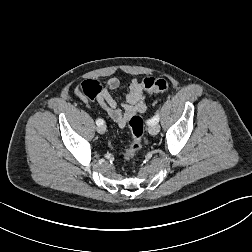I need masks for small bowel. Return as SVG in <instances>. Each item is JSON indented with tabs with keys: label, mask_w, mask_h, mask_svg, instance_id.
Listing matches in <instances>:
<instances>
[{
	"label": "small bowel",
	"mask_w": 252,
	"mask_h": 252,
	"mask_svg": "<svg viewBox=\"0 0 252 252\" xmlns=\"http://www.w3.org/2000/svg\"><path fill=\"white\" fill-rule=\"evenodd\" d=\"M120 87L118 78H110L106 81L101 92L97 96V102L107 115L120 127L124 128L131 117L141 114L146 110L145 89L141 82L132 80L125 102L119 106L112 96V92ZM79 96L85 101V97L80 91Z\"/></svg>",
	"instance_id": "small-bowel-1"
}]
</instances>
